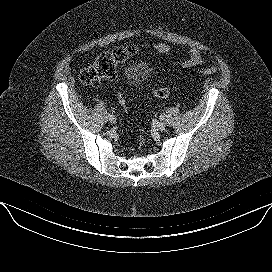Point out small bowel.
Here are the masks:
<instances>
[{
	"instance_id": "obj_1",
	"label": "small bowel",
	"mask_w": 272,
	"mask_h": 272,
	"mask_svg": "<svg viewBox=\"0 0 272 272\" xmlns=\"http://www.w3.org/2000/svg\"><path fill=\"white\" fill-rule=\"evenodd\" d=\"M153 47L161 54L170 55L171 54V46L167 43L157 42L153 44ZM204 63V57L200 50L191 49L186 58H184L180 64L185 68H190L193 66L201 65Z\"/></svg>"
}]
</instances>
